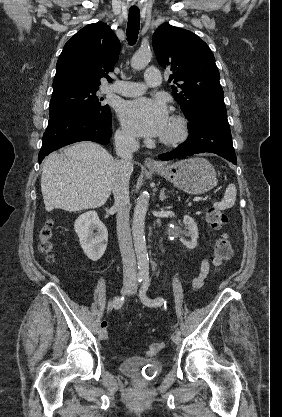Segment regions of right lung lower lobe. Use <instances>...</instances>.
I'll return each instance as SVG.
<instances>
[{
  "mask_svg": "<svg viewBox=\"0 0 282 417\" xmlns=\"http://www.w3.org/2000/svg\"><path fill=\"white\" fill-rule=\"evenodd\" d=\"M112 136L111 112L67 110L50 117L43 135L39 163L46 155L65 145L90 140L108 144Z\"/></svg>",
  "mask_w": 282,
  "mask_h": 417,
  "instance_id": "obj_1",
  "label": "right lung lower lobe"
}]
</instances>
